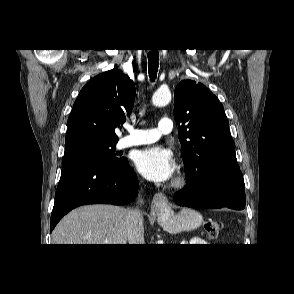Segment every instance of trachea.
<instances>
[{
	"label": "trachea",
	"instance_id": "obj_1",
	"mask_svg": "<svg viewBox=\"0 0 294 294\" xmlns=\"http://www.w3.org/2000/svg\"><path fill=\"white\" fill-rule=\"evenodd\" d=\"M158 60L159 54L157 51H151L148 53V72L151 81L156 79L159 66Z\"/></svg>",
	"mask_w": 294,
	"mask_h": 294
}]
</instances>
